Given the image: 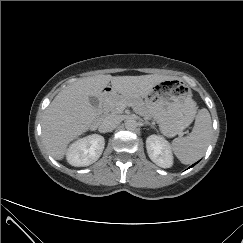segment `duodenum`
<instances>
[{
  "instance_id": "410a0bca",
  "label": "duodenum",
  "mask_w": 243,
  "mask_h": 243,
  "mask_svg": "<svg viewBox=\"0 0 243 243\" xmlns=\"http://www.w3.org/2000/svg\"><path fill=\"white\" fill-rule=\"evenodd\" d=\"M111 96H112V90L110 88L104 89V91L101 93L98 116L96 117L95 122H98V120L105 113L107 104H108Z\"/></svg>"
}]
</instances>
